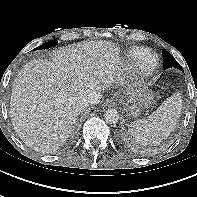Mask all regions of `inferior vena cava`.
Returning <instances> with one entry per match:
<instances>
[{"label": "inferior vena cava", "instance_id": "inferior-vena-cava-1", "mask_svg": "<svg viewBox=\"0 0 197 197\" xmlns=\"http://www.w3.org/2000/svg\"><path fill=\"white\" fill-rule=\"evenodd\" d=\"M100 92L91 91L81 101V107H87L89 105H95L100 102Z\"/></svg>", "mask_w": 197, "mask_h": 197}]
</instances>
